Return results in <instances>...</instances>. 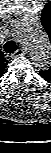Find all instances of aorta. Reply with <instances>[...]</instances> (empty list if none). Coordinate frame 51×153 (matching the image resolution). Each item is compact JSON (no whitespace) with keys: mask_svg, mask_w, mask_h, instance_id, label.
Wrapping results in <instances>:
<instances>
[{"mask_svg":"<svg viewBox=\"0 0 51 153\" xmlns=\"http://www.w3.org/2000/svg\"><path fill=\"white\" fill-rule=\"evenodd\" d=\"M12 33L26 49L37 68L48 69L50 67V42L42 26L34 25L26 20H18L12 25Z\"/></svg>","mask_w":51,"mask_h":153,"instance_id":"obj_1","label":"aorta"}]
</instances>
